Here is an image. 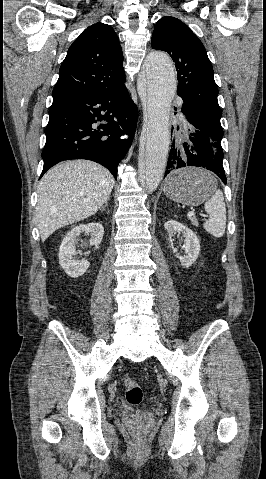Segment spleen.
<instances>
[{
	"instance_id": "3e777b00",
	"label": "spleen",
	"mask_w": 266,
	"mask_h": 479,
	"mask_svg": "<svg viewBox=\"0 0 266 479\" xmlns=\"http://www.w3.org/2000/svg\"><path fill=\"white\" fill-rule=\"evenodd\" d=\"M205 210L209 219L204 222L203 228L213 237H222L226 229V206L220 189L205 202Z\"/></svg>"
}]
</instances>
